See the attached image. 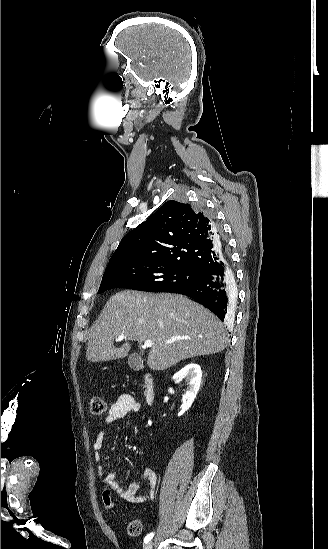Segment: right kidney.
Listing matches in <instances>:
<instances>
[{
  "instance_id": "ca27d5eb",
  "label": "right kidney",
  "mask_w": 328,
  "mask_h": 549,
  "mask_svg": "<svg viewBox=\"0 0 328 549\" xmlns=\"http://www.w3.org/2000/svg\"><path fill=\"white\" fill-rule=\"evenodd\" d=\"M201 377H202V371L199 365H195V363H189V365H186V367H183L181 371H178V373H175L173 377V381H175V383H178L180 379H186L187 385H188V389L187 391H185V395H183L182 411H180L179 415H183L185 411H188V409H190L199 391Z\"/></svg>"
}]
</instances>
